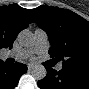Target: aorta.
Listing matches in <instances>:
<instances>
[{"mask_svg": "<svg viewBox=\"0 0 89 89\" xmlns=\"http://www.w3.org/2000/svg\"><path fill=\"white\" fill-rule=\"evenodd\" d=\"M18 41L20 42V44L22 46L29 48V47H32L35 45V36L31 31L23 30L18 35ZM46 74H47V71H46L45 67L41 66V65L36 67L32 71V76L36 80H41V79L45 78Z\"/></svg>", "mask_w": 89, "mask_h": 89, "instance_id": "1", "label": "aorta"}]
</instances>
